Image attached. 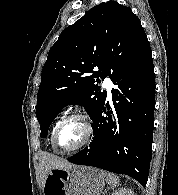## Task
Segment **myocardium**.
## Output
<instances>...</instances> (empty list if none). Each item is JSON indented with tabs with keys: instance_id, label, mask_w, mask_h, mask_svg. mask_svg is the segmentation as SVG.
I'll return each instance as SVG.
<instances>
[{
	"instance_id": "obj_1",
	"label": "myocardium",
	"mask_w": 178,
	"mask_h": 195,
	"mask_svg": "<svg viewBox=\"0 0 178 195\" xmlns=\"http://www.w3.org/2000/svg\"><path fill=\"white\" fill-rule=\"evenodd\" d=\"M72 120H79L83 123V125L85 127V136H84L83 140L77 146H75L73 148H70V149L59 148L58 144H57L59 131L64 124H66L67 122L72 121ZM92 136H93V125H92L90 117L85 113H73V114L63 118L61 121L58 122V124L53 132L51 143H52V147L57 152L72 153V152H76V151H79L82 148H84L90 142V140L92 139Z\"/></svg>"
}]
</instances>
